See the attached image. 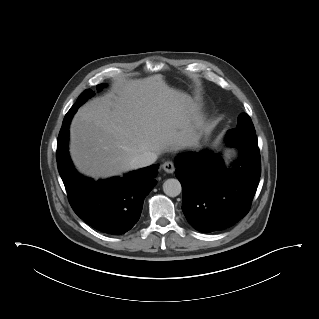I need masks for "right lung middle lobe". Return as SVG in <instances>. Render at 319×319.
Here are the masks:
<instances>
[{"label": "right lung middle lobe", "mask_w": 319, "mask_h": 319, "mask_svg": "<svg viewBox=\"0 0 319 319\" xmlns=\"http://www.w3.org/2000/svg\"><path fill=\"white\" fill-rule=\"evenodd\" d=\"M104 87V84H99L97 85V90H101ZM94 96V93L92 90L87 89L85 90L77 99L75 104L71 107V109L68 111L66 114L64 120H63V125H67L69 123V119L74 115V113L77 111V109L89 98ZM65 130V127L63 128Z\"/></svg>", "instance_id": "1"}]
</instances>
